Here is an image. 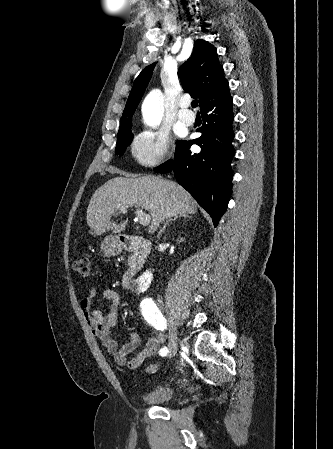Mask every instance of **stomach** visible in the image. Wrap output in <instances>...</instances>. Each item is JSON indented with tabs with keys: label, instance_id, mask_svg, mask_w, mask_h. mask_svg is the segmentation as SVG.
<instances>
[{
	"label": "stomach",
	"instance_id": "0dacf381",
	"mask_svg": "<svg viewBox=\"0 0 333 449\" xmlns=\"http://www.w3.org/2000/svg\"><path fill=\"white\" fill-rule=\"evenodd\" d=\"M101 250L105 256H115L119 254L122 249L118 239L109 236L101 242Z\"/></svg>",
	"mask_w": 333,
	"mask_h": 449
}]
</instances>
